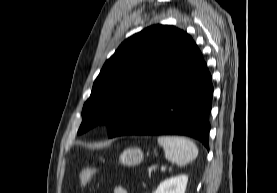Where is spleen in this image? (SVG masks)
I'll use <instances>...</instances> for the list:
<instances>
[{
    "label": "spleen",
    "instance_id": "3e777b00",
    "mask_svg": "<svg viewBox=\"0 0 277 193\" xmlns=\"http://www.w3.org/2000/svg\"><path fill=\"white\" fill-rule=\"evenodd\" d=\"M158 143L163 147L165 158L175 161L177 165L184 166L198 156L196 145L185 137L159 136Z\"/></svg>",
    "mask_w": 277,
    "mask_h": 193
}]
</instances>
